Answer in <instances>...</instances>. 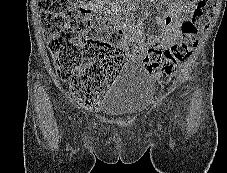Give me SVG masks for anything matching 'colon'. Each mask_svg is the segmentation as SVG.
<instances>
[{
	"label": "colon",
	"mask_w": 227,
	"mask_h": 173,
	"mask_svg": "<svg viewBox=\"0 0 227 173\" xmlns=\"http://www.w3.org/2000/svg\"><path fill=\"white\" fill-rule=\"evenodd\" d=\"M74 3V0L38 1L58 76L69 81L71 93L80 104L94 107L117 75L125 56L109 40L116 20L109 15L97 16L92 9ZM215 6V0H198L192 19L182 23L180 38L171 46L151 45L144 53L140 44L132 43L129 53L143 56L145 67L160 82L169 81L178 65L198 45V36L209 26Z\"/></svg>",
	"instance_id": "colon-1"
}]
</instances>
